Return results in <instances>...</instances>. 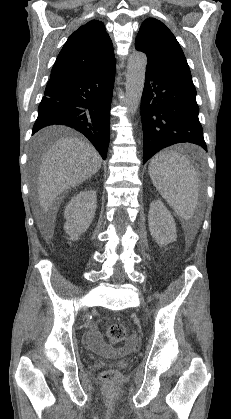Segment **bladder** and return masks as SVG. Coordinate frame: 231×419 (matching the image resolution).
<instances>
[{"label": "bladder", "instance_id": "bladder-1", "mask_svg": "<svg viewBox=\"0 0 231 419\" xmlns=\"http://www.w3.org/2000/svg\"><path fill=\"white\" fill-rule=\"evenodd\" d=\"M123 358L122 357H118V358H116V360H122Z\"/></svg>", "mask_w": 231, "mask_h": 419}]
</instances>
